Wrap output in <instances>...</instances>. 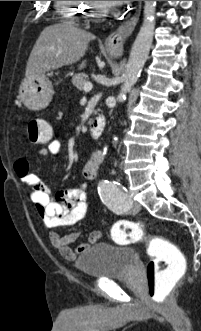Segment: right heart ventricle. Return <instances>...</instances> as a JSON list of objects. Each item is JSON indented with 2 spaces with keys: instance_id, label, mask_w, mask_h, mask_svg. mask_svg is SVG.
Returning a JSON list of instances; mask_svg holds the SVG:
<instances>
[{
  "instance_id": "obj_1",
  "label": "right heart ventricle",
  "mask_w": 201,
  "mask_h": 331,
  "mask_svg": "<svg viewBox=\"0 0 201 331\" xmlns=\"http://www.w3.org/2000/svg\"><path fill=\"white\" fill-rule=\"evenodd\" d=\"M56 6L64 20L78 24L82 20L83 12L88 8V1H56Z\"/></svg>"
}]
</instances>
